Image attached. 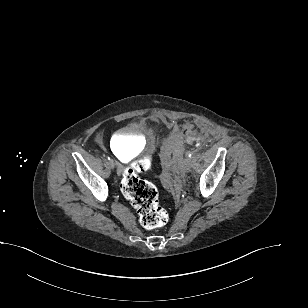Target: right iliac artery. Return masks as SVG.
Wrapping results in <instances>:
<instances>
[{"label": "right iliac artery", "instance_id": "82829eb1", "mask_svg": "<svg viewBox=\"0 0 308 308\" xmlns=\"http://www.w3.org/2000/svg\"><path fill=\"white\" fill-rule=\"evenodd\" d=\"M107 159L110 160V157L108 156Z\"/></svg>", "mask_w": 308, "mask_h": 308}]
</instances>
